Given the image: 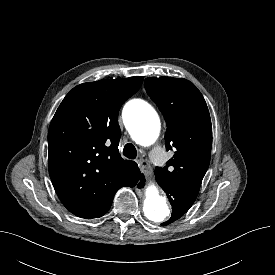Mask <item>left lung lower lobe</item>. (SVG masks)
<instances>
[{"mask_svg": "<svg viewBox=\"0 0 275 275\" xmlns=\"http://www.w3.org/2000/svg\"><path fill=\"white\" fill-rule=\"evenodd\" d=\"M155 175L158 184L166 192V195L172 205L171 218L167 222L162 224L167 225L176 221L190 209V207L196 200L199 190L196 188L172 184L163 176L156 173Z\"/></svg>", "mask_w": 275, "mask_h": 275, "instance_id": "left-lung-lower-lobe-1", "label": "left lung lower lobe"}]
</instances>
